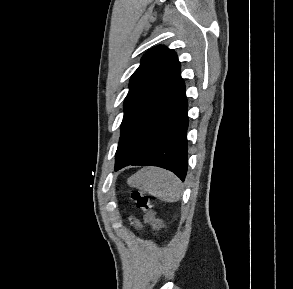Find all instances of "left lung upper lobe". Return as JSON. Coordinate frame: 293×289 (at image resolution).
I'll return each instance as SVG.
<instances>
[{"instance_id": "1", "label": "left lung upper lobe", "mask_w": 293, "mask_h": 289, "mask_svg": "<svg viewBox=\"0 0 293 289\" xmlns=\"http://www.w3.org/2000/svg\"><path fill=\"white\" fill-rule=\"evenodd\" d=\"M180 62L174 50L163 46L149 50L131 76L129 92L124 100V117L116 151L115 168L132 159L121 140L128 128L153 107L181 80Z\"/></svg>"}]
</instances>
